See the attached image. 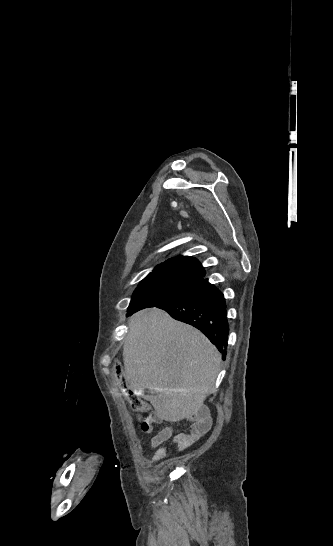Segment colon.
<instances>
[{
  "label": "colon",
  "instance_id": "1",
  "mask_svg": "<svg viewBox=\"0 0 333 546\" xmlns=\"http://www.w3.org/2000/svg\"><path fill=\"white\" fill-rule=\"evenodd\" d=\"M129 402L135 411L148 412L150 410L149 404L144 399L132 393L129 395ZM153 422V414L138 417L139 426L145 433H150L152 431Z\"/></svg>",
  "mask_w": 333,
  "mask_h": 546
}]
</instances>
